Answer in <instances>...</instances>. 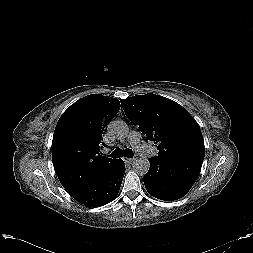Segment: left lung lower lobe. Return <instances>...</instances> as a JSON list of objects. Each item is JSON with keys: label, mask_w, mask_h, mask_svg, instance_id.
Segmentation results:
<instances>
[{"label": "left lung lower lobe", "mask_w": 253, "mask_h": 253, "mask_svg": "<svg viewBox=\"0 0 253 253\" xmlns=\"http://www.w3.org/2000/svg\"><path fill=\"white\" fill-rule=\"evenodd\" d=\"M150 168L144 175V185L150 195L165 201L185 196L191 189L203 161L183 157L149 158Z\"/></svg>", "instance_id": "obj_1"}]
</instances>
